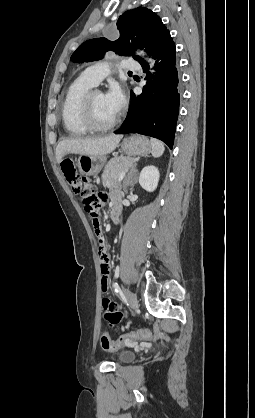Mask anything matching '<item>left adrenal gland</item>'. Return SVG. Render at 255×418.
<instances>
[{"mask_svg":"<svg viewBox=\"0 0 255 418\" xmlns=\"http://www.w3.org/2000/svg\"><path fill=\"white\" fill-rule=\"evenodd\" d=\"M136 166H137V161L131 167L129 174H136L137 173ZM134 184L135 183L130 184L129 181L126 179L125 182H124V191H125V193H127V186L130 185L133 188L134 187Z\"/></svg>","mask_w":255,"mask_h":418,"instance_id":"a2214340","label":"left adrenal gland"}]
</instances>
